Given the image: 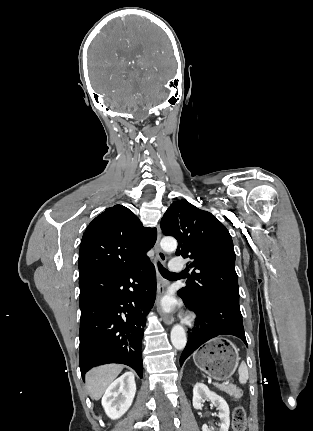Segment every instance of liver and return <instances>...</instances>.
<instances>
[{"label":"liver","instance_id":"1","mask_svg":"<svg viewBox=\"0 0 313 431\" xmlns=\"http://www.w3.org/2000/svg\"><path fill=\"white\" fill-rule=\"evenodd\" d=\"M123 367L118 364H109L93 368L86 375V383L90 397L99 400L108 386L120 374Z\"/></svg>","mask_w":313,"mask_h":431}]
</instances>
